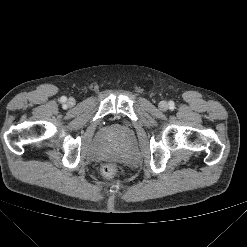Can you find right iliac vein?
Listing matches in <instances>:
<instances>
[{
    "label": "right iliac vein",
    "instance_id": "obj_1",
    "mask_svg": "<svg viewBox=\"0 0 247 247\" xmlns=\"http://www.w3.org/2000/svg\"><path fill=\"white\" fill-rule=\"evenodd\" d=\"M69 106H73L75 104V99L74 98H69L67 101Z\"/></svg>",
    "mask_w": 247,
    "mask_h": 247
}]
</instances>
